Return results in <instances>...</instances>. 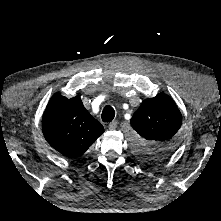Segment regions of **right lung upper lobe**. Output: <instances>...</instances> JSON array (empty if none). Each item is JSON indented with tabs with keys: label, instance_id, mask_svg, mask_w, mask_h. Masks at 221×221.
Instances as JSON below:
<instances>
[{
	"label": "right lung upper lobe",
	"instance_id": "right-lung-upper-lobe-1",
	"mask_svg": "<svg viewBox=\"0 0 221 221\" xmlns=\"http://www.w3.org/2000/svg\"><path fill=\"white\" fill-rule=\"evenodd\" d=\"M47 142L67 157L82 155L104 132L103 126L84 108L79 96L66 98L56 93L42 120Z\"/></svg>",
	"mask_w": 221,
	"mask_h": 221
}]
</instances>
